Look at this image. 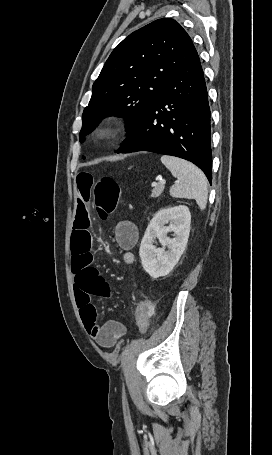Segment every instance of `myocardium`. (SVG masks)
Segmentation results:
<instances>
[{
  "instance_id": "1",
  "label": "myocardium",
  "mask_w": 272,
  "mask_h": 455,
  "mask_svg": "<svg viewBox=\"0 0 272 455\" xmlns=\"http://www.w3.org/2000/svg\"><path fill=\"white\" fill-rule=\"evenodd\" d=\"M124 127V120L120 118H108L94 129L93 136L97 141L105 143L119 136L123 132Z\"/></svg>"
}]
</instances>
